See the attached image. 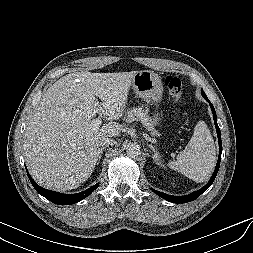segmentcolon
Here are the masks:
<instances>
[{"label": "colon", "mask_w": 253, "mask_h": 253, "mask_svg": "<svg viewBox=\"0 0 253 253\" xmlns=\"http://www.w3.org/2000/svg\"><path fill=\"white\" fill-rule=\"evenodd\" d=\"M165 85L170 93V95L175 100H180L183 94V84L182 81L173 75H169L165 79Z\"/></svg>", "instance_id": "colon-1"}]
</instances>
